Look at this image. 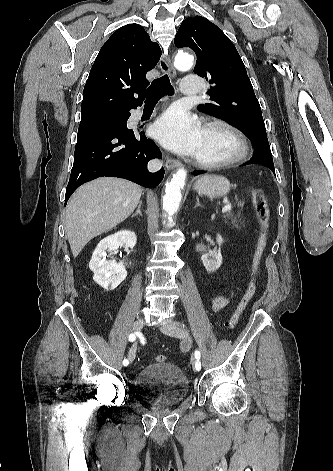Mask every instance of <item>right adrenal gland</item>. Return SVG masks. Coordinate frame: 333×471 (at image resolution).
<instances>
[{"instance_id":"obj_1","label":"right adrenal gland","mask_w":333,"mask_h":471,"mask_svg":"<svg viewBox=\"0 0 333 471\" xmlns=\"http://www.w3.org/2000/svg\"><path fill=\"white\" fill-rule=\"evenodd\" d=\"M141 206H142V201L139 202L138 208H137L136 212L132 215V217H135L136 215L142 216Z\"/></svg>"}]
</instances>
